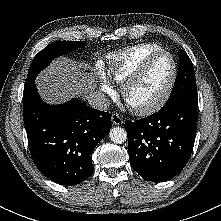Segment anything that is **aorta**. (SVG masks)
<instances>
[{"label":"aorta","mask_w":221,"mask_h":221,"mask_svg":"<svg viewBox=\"0 0 221 221\" xmlns=\"http://www.w3.org/2000/svg\"><path fill=\"white\" fill-rule=\"evenodd\" d=\"M110 140L116 144H122L127 140V132L121 127H113L109 132Z\"/></svg>","instance_id":"obj_1"}]
</instances>
